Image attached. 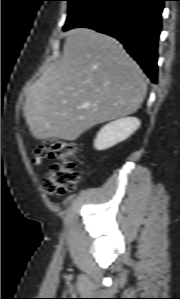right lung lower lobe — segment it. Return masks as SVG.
Segmentation results:
<instances>
[{
    "instance_id": "98d812e1",
    "label": "right lung lower lobe",
    "mask_w": 180,
    "mask_h": 299,
    "mask_svg": "<svg viewBox=\"0 0 180 299\" xmlns=\"http://www.w3.org/2000/svg\"><path fill=\"white\" fill-rule=\"evenodd\" d=\"M166 0H103L64 30L86 27L119 40L153 83Z\"/></svg>"
}]
</instances>
